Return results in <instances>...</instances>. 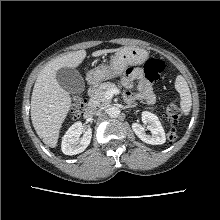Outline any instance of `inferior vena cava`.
Masks as SVG:
<instances>
[{
    "label": "inferior vena cava",
    "instance_id": "inferior-vena-cava-1",
    "mask_svg": "<svg viewBox=\"0 0 220 220\" xmlns=\"http://www.w3.org/2000/svg\"><path fill=\"white\" fill-rule=\"evenodd\" d=\"M99 112H100L99 109H92V110L90 111V114H91V115H95V114H97V113H99Z\"/></svg>",
    "mask_w": 220,
    "mask_h": 220
}]
</instances>
